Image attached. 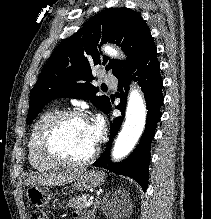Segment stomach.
<instances>
[{"label": "stomach", "instance_id": "1", "mask_svg": "<svg viewBox=\"0 0 211 219\" xmlns=\"http://www.w3.org/2000/svg\"><path fill=\"white\" fill-rule=\"evenodd\" d=\"M105 182V174L96 170H84L72 184L78 191H85L102 185ZM26 196L35 207L42 208L49 204L52 194L47 186H30Z\"/></svg>", "mask_w": 211, "mask_h": 219}]
</instances>
